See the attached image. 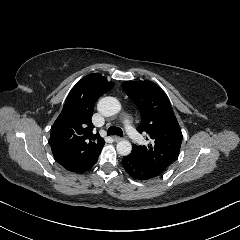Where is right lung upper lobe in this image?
Listing matches in <instances>:
<instances>
[{"label": "right lung upper lobe", "instance_id": "obj_1", "mask_svg": "<svg viewBox=\"0 0 240 240\" xmlns=\"http://www.w3.org/2000/svg\"><path fill=\"white\" fill-rule=\"evenodd\" d=\"M112 87L102 75L91 73L70 91L50 134L52 153L65 169L81 173L96 163L105 142L93 132L91 118L97 99Z\"/></svg>", "mask_w": 240, "mask_h": 240}]
</instances>
